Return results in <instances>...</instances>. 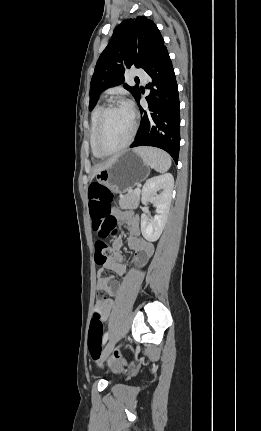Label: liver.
<instances>
[{
    "label": "liver",
    "mask_w": 261,
    "mask_h": 431,
    "mask_svg": "<svg viewBox=\"0 0 261 431\" xmlns=\"http://www.w3.org/2000/svg\"><path fill=\"white\" fill-rule=\"evenodd\" d=\"M118 157V155L117 156H115V157H113V158H111L110 160H108L107 162H105V163H103V164H101V165H98V166H96L95 167V169H94V173H93V175H92V178L99 172V171H101L102 169H104V168H106L107 166H109L111 163H113L115 160H116V158Z\"/></svg>",
    "instance_id": "6515ba94"
}]
</instances>
